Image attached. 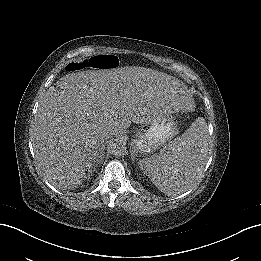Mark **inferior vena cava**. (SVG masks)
I'll return each mask as SVG.
<instances>
[{
	"label": "inferior vena cava",
	"mask_w": 261,
	"mask_h": 261,
	"mask_svg": "<svg viewBox=\"0 0 261 261\" xmlns=\"http://www.w3.org/2000/svg\"><path fill=\"white\" fill-rule=\"evenodd\" d=\"M115 132H116V131H115ZM111 134H113V133H109V134H108V133H105L103 138L106 139V138L109 137V135H111Z\"/></svg>",
	"instance_id": "inferior-vena-cava-1"
}]
</instances>
